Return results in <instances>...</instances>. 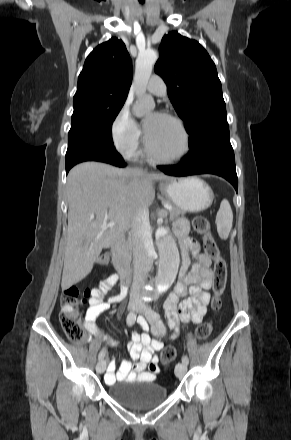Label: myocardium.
<instances>
[{
    "instance_id": "myocardium-1",
    "label": "myocardium",
    "mask_w": 291,
    "mask_h": 440,
    "mask_svg": "<svg viewBox=\"0 0 291 440\" xmlns=\"http://www.w3.org/2000/svg\"><path fill=\"white\" fill-rule=\"evenodd\" d=\"M161 115L163 117L173 121L178 126V128L180 129V131H181V133L183 135V138H184V149H183L182 153L179 156H177V157H174V158L163 157L160 154H158L154 150V148L151 146L146 133H145V136H144L145 149H146V152H147L148 156L152 160H154L156 162H159V163H163V164H175V163H178L181 160H183L189 154L190 148H191L190 134H189L188 129L186 128L184 122L179 117H177L176 115H173V114H170V113H162Z\"/></svg>"
}]
</instances>
